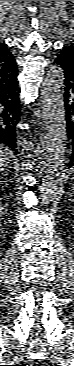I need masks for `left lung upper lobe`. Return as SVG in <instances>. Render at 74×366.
I'll use <instances>...</instances> for the list:
<instances>
[{
    "label": "left lung upper lobe",
    "instance_id": "1",
    "mask_svg": "<svg viewBox=\"0 0 74 366\" xmlns=\"http://www.w3.org/2000/svg\"><path fill=\"white\" fill-rule=\"evenodd\" d=\"M56 60H61L65 65L74 69V46L64 47Z\"/></svg>",
    "mask_w": 74,
    "mask_h": 366
}]
</instances>
